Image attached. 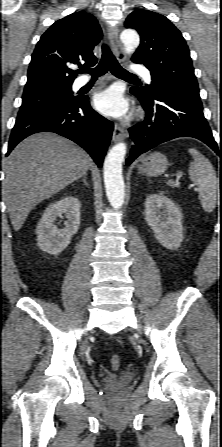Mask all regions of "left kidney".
Returning a JSON list of instances; mask_svg holds the SVG:
<instances>
[{
  "label": "left kidney",
  "instance_id": "obj_1",
  "mask_svg": "<svg viewBox=\"0 0 222 447\" xmlns=\"http://www.w3.org/2000/svg\"><path fill=\"white\" fill-rule=\"evenodd\" d=\"M145 220L165 248L172 250L180 246L184 239L182 214L170 198L150 194L145 201Z\"/></svg>",
  "mask_w": 222,
  "mask_h": 447
}]
</instances>
